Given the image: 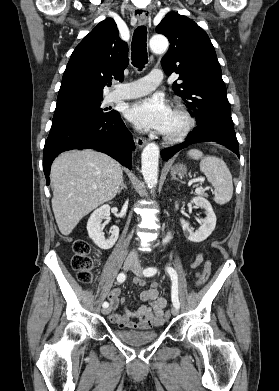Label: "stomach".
<instances>
[{
	"mask_svg": "<svg viewBox=\"0 0 279 391\" xmlns=\"http://www.w3.org/2000/svg\"><path fill=\"white\" fill-rule=\"evenodd\" d=\"M172 173L182 176L186 173V167L180 164L172 169Z\"/></svg>",
	"mask_w": 279,
	"mask_h": 391,
	"instance_id": "1",
	"label": "stomach"
}]
</instances>
